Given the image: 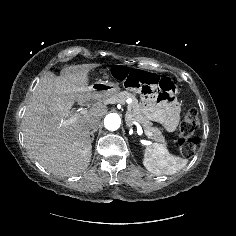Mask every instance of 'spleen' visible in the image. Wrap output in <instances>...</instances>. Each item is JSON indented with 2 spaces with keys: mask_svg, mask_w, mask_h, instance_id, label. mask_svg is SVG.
<instances>
[{
  "mask_svg": "<svg viewBox=\"0 0 236 236\" xmlns=\"http://www.w3.org/2000/svg\"><path fill=\"white\" fill-rule=\"evenodd\" d=\"M187 163V159L171 155L163 145L154 144L144 150L143 165L149 172L156 175L175 174Z\"/></svg>",
  "mask_w": 236,
  "mask_h": 236,
  "instance_id": "spleen-1",
  "label": "spleen"
}]
</instances>
